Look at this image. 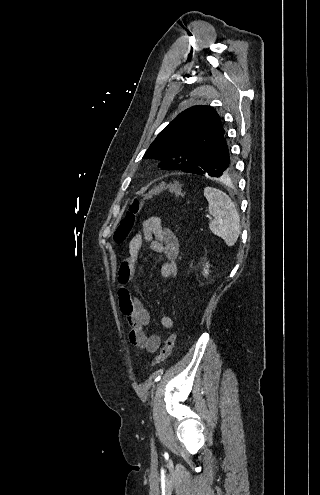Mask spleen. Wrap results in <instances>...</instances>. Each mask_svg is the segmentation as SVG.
Returning a JSON list of instances; mask_svg holds the SVG:
<instances>
[{"label":"spleen","mask_w":320,"mask_h":495,"mask_svg":"<svg viewBox=\"0 0 320 495\" xmlns=\"http://www.w3.org/2000/svg\"><path fill=\"white\" fill-rule=\"evenodd\" d=\"M204 196L209 204L208 212L214 217L210 230L227 246H233L240 234V219L234 203L226 193L213 187H205Z\"/></svg>","instance_id":"3e777b00"}]
</instances>
